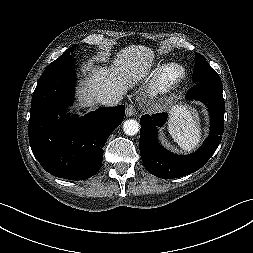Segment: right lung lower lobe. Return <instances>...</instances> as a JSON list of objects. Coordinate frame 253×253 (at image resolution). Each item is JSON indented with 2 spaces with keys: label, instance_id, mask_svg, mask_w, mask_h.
Instances as JSON below:
<instances>
[{
  "label": "right lung lower lobe",
  "instance_id": "1",
  "mask_svg": "<svg viewBox=\"0 0 253 253\" xmlns=\"http://www.w3.org/2000/svg\"><path fill=\"white\" fill-rule=\"evenodd\" d=\"M75 70L73 57L48 66L32 96L29 141L42 167L53 176L82 180L101 167L103 147L123 121L125 106L100 107L84 116H70Z\"/></svg>",
  "mask_w": 253,
  "mask_h": 253
}]
</instances>
